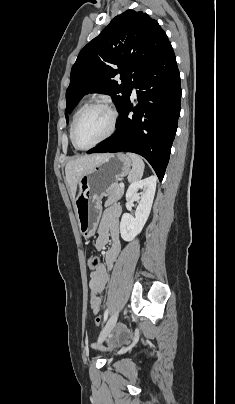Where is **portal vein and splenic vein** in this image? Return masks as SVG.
Wrapping results in <instances>:
<instances>
[{
	"instance_id": "18ae733b",
	"label": "portal vein and splenic vein",
	"mask_w": 235,
	"mask_h": 404,
	"mask_svg": "<svg viewBox=\"0 0 235 404\" xmlns=\"http://www.w3.org/2000/svg\"><path fill=\"white\" fill-rule=\"evenodd\" d=\"M120 187H121V188H124V184H123V183H120Z\"/></svg>"
}]
</instances>
